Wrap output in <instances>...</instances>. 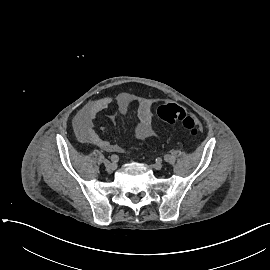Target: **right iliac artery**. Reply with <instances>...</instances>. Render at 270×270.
<instances>
[{"label":"right iliac artery","mask_w":270,"mask_h":270,"mask_svg":"<svg viewBox=\"0 0 270 270\" xmlns=\"http://www.w3.org/2000/svg\"><path fill=\"white\" fill-rule=\"evenodd\" d=\"M110 159H111V161L112 162H114V163H117L118 161H119V157H118V155H112L111 157H110Z\"/></svg>","instance_id":"obj_1"}]
</instances>
